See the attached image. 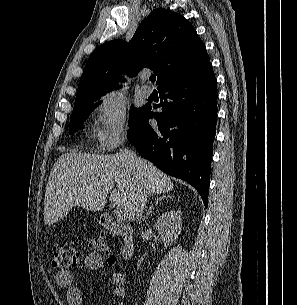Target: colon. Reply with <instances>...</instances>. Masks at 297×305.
<instances>
[{
  "instance_id": "1",
  "label": "colon",
  "mask_w": 297,
  "mask_h": 305,
  "mask_svg": "<svg viewBox=\"0 0 297 305\" xmlns=\"http://www.w3.org/2000/svg\"><path fill=\"white\" fill-rule=\"evenodd\" d=\"M90 246L103 248L105 246L102 237H92ZM82 258L79 251L69 248L65 243H57L53 247V266L58 270H67L74 267ZM113 260V257H111Z\"/></svg>"
}]
</instances>
